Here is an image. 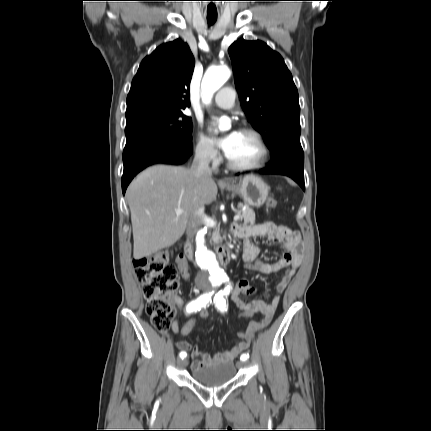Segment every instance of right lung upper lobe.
<instances>
[{
  "label": "right lung upper lobe",
  "instance_id": "right-lung-upper-lobe-1",
  "mask_svg": "<svg viewBox=\"0 0 431 431\" xmlns=\"http://www.w3.org/2000/svg\"><path fill=\"white\" fill-rule=\"evenodd\" d=\"M195 66L187 43L176 39L145 57L127 96L126 119L151 112L184 111Z\"/></svg>",
  "mask_w": 431,
  "mask_h": 431
}]
</instances>
